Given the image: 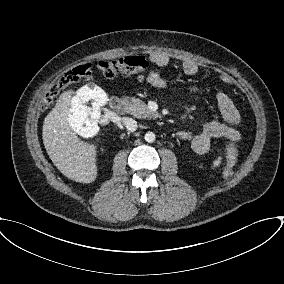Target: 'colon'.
Returning <instances> with one entry per match:
<instances>
[{
  "instance_id": "5ec220e1",
  "label": "colon",
  "mask_w": 284,
  "mask_h": 284,
  "mask_svg": "<svg viewBox=\"0 0 284 284\" xmlns=\"http://www.w3.org/2000/svg\"><path fill=\"white\" fill-rule=\"evenodd\" d=\"M148 67V62L144 56H126L117 59L96 61L79 65L59 78L48 90L44 106L48 107L53 99L65 88L81 80L91 77L94 70L99 71L106 78L117 76H129L144 71ZM223 175L229 177L234 174L238 159L237 142L230 138Z\"/></svg>"
}]
</instances>
